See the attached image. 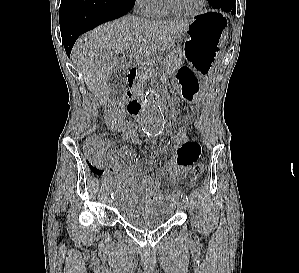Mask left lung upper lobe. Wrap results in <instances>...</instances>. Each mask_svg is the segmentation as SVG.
Instances as JSON below:
<instances>
[{"mask_svg": "<svg viewBox=\"0 0 299 273\" xmlns=\"http://www.w3.org/2000/svg\"><path fill=\"white\" fill-rule=\"evenodd\" d=\"M213 1H215V0H208V3L211 4Z\"/></svg>", "mask_w": 299, "mask_h": 273, "instance_id": "obj_1", "label": "left lung upper lobe"}]
</instances>
